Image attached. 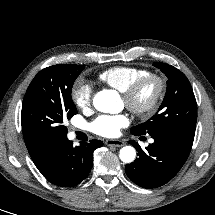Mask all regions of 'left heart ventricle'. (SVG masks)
I'll list each match as a JSON object with an SVG mask.
<instances>
[{
	"label": "left heart ventricle",
	"instance_id": "obj_1",
	"mask_svg": "<svg viewBox=\"0 0 215 215\" xmlns=\"http://www.w3.org/2000/svg\"><path fill=\"white\" fill-rule=\"evenodd\" d=\"M155 87L153 84H148L146 87L143 88V90L140 92L139 96H138V101L140 103H146L148 102L153 93H154Z\"/></svg>",
	"mask_w": 215,
	"mask_h": 215
}]
</instances>
